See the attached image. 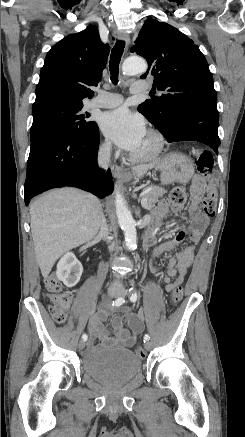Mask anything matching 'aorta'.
I'll return each instance as SVG.
<instances>
[{
  "label": "aorta",
  "mask_w": 245,
  "mask_h": 437,
  "mask_svg": "<svg viewBox=\"0 0 245 437\" xmlns=\"http://www.w3.org/2000/svg\"><path fill=\"white\" fill-rule=\"evenodd\" d=\"M122 69L123 73L129 76L142 74L147 70V63L140 57H130L125 60ZM115 193L116 215L124 232L125 244L129 250H134L137 247L136 223L122 195L117 190Z\"/></svg>",
  "instance_id": "762f6f07"
}]
</instances>
